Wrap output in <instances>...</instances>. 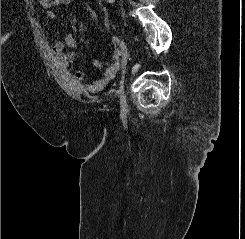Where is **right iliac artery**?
<instances>
[{
    "label": "right iliac artery",
    "instance_id": "obj_1",
    "mask_svg": "<svg viewBox=\"0 0 245 239\" xmlns=\"http://www.w3.org/2000/svg\"><path fill=\"white\" fill-rule=\"evenodd\" d=\"M112 41H113L114 44L119 45V47L121 49V53L123 55L124 48H123V45L121 44L120 40L116 36H113L112 37Z\"/></svg>",
    "mask_w": 245,
    "mask_h": 239
}]
</instances>
